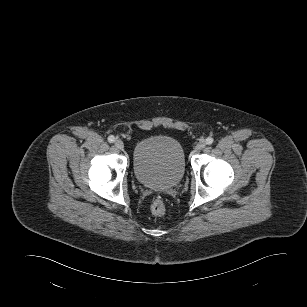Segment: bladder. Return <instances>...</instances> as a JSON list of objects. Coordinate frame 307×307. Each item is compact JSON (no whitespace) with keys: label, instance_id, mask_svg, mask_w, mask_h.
Returning <instances> with one entry per match:
<instances>
[{"label":"bladder","instance_id":"bladder-1","mask_svg":"<svg viewBox=\"0 0 307 307\" xmlns=\"http://www.w3.org/2000/svg\"><path fill=\"white\" fill-rule=\"evenodd\" d=\"M132 166L139 183L152 189L167 190L178 185L185 174V152L173 137H149L136 144Z\"/></svg>","mask_w":307,"mask_h":307}]
</instances>
